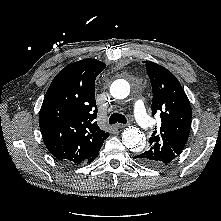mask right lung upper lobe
Instances as JSON below:
<instances>
[{
  "instance_id": "cb5924a9",
  "label": "right lung upper lobe",
  "mask_w": 221,
  "mask_h": 221,
  "mask_svg": "<svg viewBox=\"0 0 221 221\" xmlns=\"http://www.w3.org/2000/svg\"><path fill=\"white\" fill-rule=\"evenodd\" d=\"M105 67L96 59L77 61L63 68L49 86L39 126L47 149L57 159L86 162L109 136L95 122V79Z\"/></svg>"
}]
</instances>
